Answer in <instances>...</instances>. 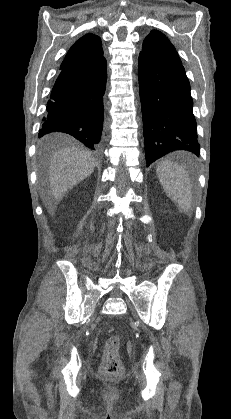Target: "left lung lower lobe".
I'll list each match as a JSON object with an SVG mask.
<instances>
[{
  "instance_id": "1",
  "label": "left lung lower lobe",
  "mask_w": 231,
  "mask_h": 419,
  "mask_svg": "<svg viewBox=\"0 0 231 419\" xmlns=\"http://www.w3.org/2000/svg\"><path fill=\"white\" fill-rule=\"evenodd\" d=\"M138 78L147 166L180 150L199 156L190 84L182 64L140 52Z\"/></svg>"
}]
</instances>
